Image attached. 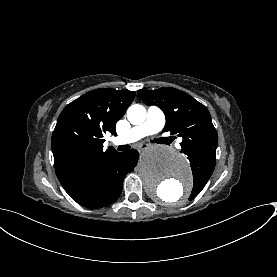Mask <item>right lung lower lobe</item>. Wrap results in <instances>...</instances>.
<instances>
[{
  "instance_id": "1",
  "label": "right lung lower lobe",
  "mask_w": 277,
  "mask_h": 277,
  "mask_svg": "<svg viewBox=\"0 0 277 277\" xmlns=\"http://www.w3.org/2000/svg\"><path fill=\"white\" fill-rule=\"evenodd\" d=\"M138 161L135 150L114 152L89 164L62 182L68 195L87 208L114 203L122 192L123 180Z\"/></svg>"
}]
</instances>
